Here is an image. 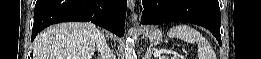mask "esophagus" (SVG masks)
Masks as SVG:
<instances>
[{
	"instance_id": "obj_1",
	"label": "esophagus",
	"mask_w": 261,
	"mask_h": 59,
	"mask_svg": "<svg viewBox=\"0 0 261 59\" xmlns=\"http://www.w3.org/2000/svg\"><path fill=\"white\" fill-rule=\"evenodd\" d=\"M127 4H128V8L130 9V11H131V13H132V15H131L132 21H133V22H137V20H138V15H137V13L134 11V10H135V0H128V1H127Z\"/></svg>"
}]
</instances>
